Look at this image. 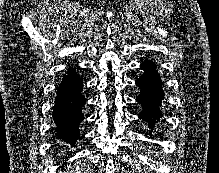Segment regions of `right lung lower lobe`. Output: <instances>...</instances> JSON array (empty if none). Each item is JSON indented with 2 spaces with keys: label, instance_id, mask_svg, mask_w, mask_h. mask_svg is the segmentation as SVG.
<instances>
[{
  "label": "right lung lower lobe",
  "instance_id": "obj_1",
  "mask_svg": "<svg viewBox=\"0 0 219 173\" xmlns=\"http://www.w3.org/2000/svg\"><path fill=\"white\" fill-rule=\"evenodd\" d=\"M82 89V80L75 69L68 71L59 84L53 108L56 135L71 146H74L80 135L78 127L84 119L81 112L85 105Z\"/></svg>",
  "mask_w": 219,
  "mask_h": 173
}]
</instances>
